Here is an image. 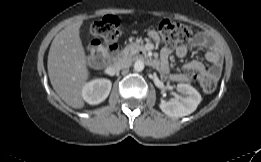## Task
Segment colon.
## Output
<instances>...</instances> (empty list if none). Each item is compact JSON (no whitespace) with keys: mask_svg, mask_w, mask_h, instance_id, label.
Masks as SVG:
<instances>
[{"mask_svg":"<svg viewBox=\"0 0 261 162\" xmlns=\"http://www.w3.org/2000/svg\"><path fill=\"white\" fill-rule=\"evenodd\" d=\"M120 19L116 15H106L95 21L90 27L93 38L89 48V58L95 63H102L105 58V48L102 42H115L119 36ZM158 33L169 46H175L187 41L191 37L189 26L170 19L162 20L157 25ZM198 83L206 93L216 89V77L209 73H201L197 76Z\"/></svg>","mask_w":261,"mask_h":162,"instance_id":"obj_1","label":"colon"}]
</instances>
